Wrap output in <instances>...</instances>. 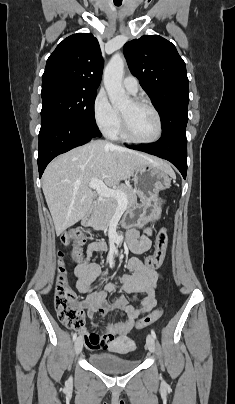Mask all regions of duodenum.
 Listing matches in <instances>:
<instances>
[{"label": "duodenum", "instance_id": "obj_1", "mask_svg": "<svg viewBox=\"0 0 235 404\" xmlns=\"http://www.w3.org/2000/svg\"><path fill=\"white\" fill-rule=\"evenodd\" d=\"M99 203H100L99 200H97V201L95 202L96 205H99ZM92 221H93L92 214H88V215H86L85 218L83 219V224H84V226H89Z\"/></svg>", "mask_w": 235, "mask_h": 404}]
</instances>
